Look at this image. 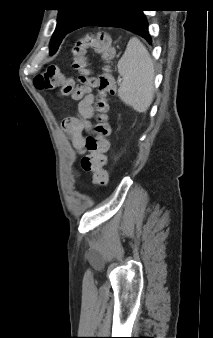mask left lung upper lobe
<instances>
[{"instance_id": "5c2ea615", "label": "left lung upper lobe", "mask_w": 213, "mask_h": 338, "mask_svg": "<svg viewBox=\"0 0 213 338\" xmlns=\"http://www.w3.org/2000/svg\"><path fill=\"white\" fill-rule=\"evenodd\" d=\"M104 0H64L66 7L59 10L57 18V26L50 43V55H53L58 50L62 39L66 34L71 32L74 24L87 12L89 9Z\"/></svg>"}]
</instances>
